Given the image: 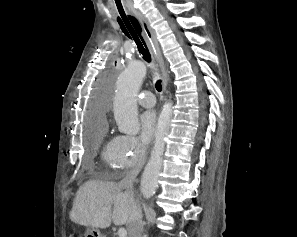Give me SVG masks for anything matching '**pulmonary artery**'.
Returning a JSON list of instances; mask_svg holds the SVG:
<instances>
[{
	"label": "pulmonary artery",
	"instance_id": "e3ab8cb5",
	"mask_svg": "<svg viewBox=\"0 0 297 237\" xmlns=\"http://www.w3.org/2000/svg\"><path fill=\"white\" fill-rule=\"evenodd\" d=\"M138 103L143 107H153L155 105L153 93L150 91H142L138 96Z\"/></svg>",
	"mask_w": 297,
	"mask_h": 237
}]
</instances>
